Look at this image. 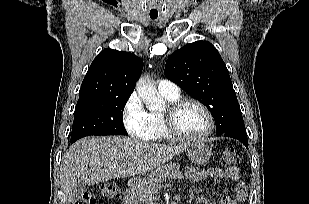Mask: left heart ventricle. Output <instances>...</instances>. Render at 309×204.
Returning a JSON list of instances; mask_svg holds the SVG:
<instances>
[{"instance_id": "1", "label": "left heart ventricle", "mask_w": 309, "mask_h": 204, "mask_svg": "<svg viewBox=\"0 0 309 204\" xmlns=\"http://www.w3.org/2000/svg\"><path fill=\"white\" fill-rule=\"evenodd\" d=\"M179 131L186 135L198 136L208 128V120L203 110L192 103L184 105L176 117Z\"/></svg>"}]
</instances>
